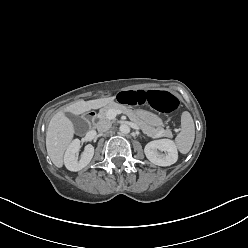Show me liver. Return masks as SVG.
<instances>
[{
	"instance_id": "liver-1",
	"label": "liver",
	"mask_w": 248,
	"mask_h": 248,
	"mask_svg": "<svg viewBox=\"0 0 248 248\" xmlns=\"http://www.w3.org/2000/svg\"><path fill=\"white\" fill-rule=\"evenodd\" d=\"M113 100L114 97L89 101L80 100L57 112L52 117L46 133V148L51 161L56 167L61 168L63 166L64 152L70 145L75 133L74 125L65 115V112L80 115L91 109H99L106 106L112 103Z\"/></svg>"
}]
</instances>
